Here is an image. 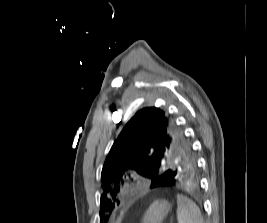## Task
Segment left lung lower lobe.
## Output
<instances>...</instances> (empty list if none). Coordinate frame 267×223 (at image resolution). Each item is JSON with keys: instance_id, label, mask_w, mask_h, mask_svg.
I'll use <instances>...</instances> for the list:
<instances>
[{"instance_id": "1", "label": "left lung lower lobe", "mask_w": 267, "mask_h": 223, "mask_svg": "<svg viewBox=\"0 0 267 223\" xmlns=\"http://www.w3.org/2000/svg\"><path fill=\"white\" fill-rule=\"evenodd\" d=\"M196 176L200 171H166L165 173H153L157 178L151 183V192H163V194H181L185 189H197Z\"/></svg>"}]
</instances>
